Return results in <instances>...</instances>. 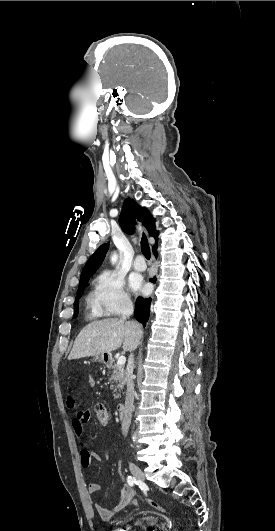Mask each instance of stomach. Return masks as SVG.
Here are the masks:
<instances>
[{"label":"stomach","instance_id":"stomach-1","mask_svg":"<svg viewBox=\"0 0 275 531\" xmlns=\"http://www.w3.org/2000/svg\"><path fill=\"white\" fill-rule=\"evenodd\" d=\"M94 363H105V365H110L112 363L111 353H99V355H93Z\"/></svg>","mask_w":275,"mask_h":531}]
</instances>
